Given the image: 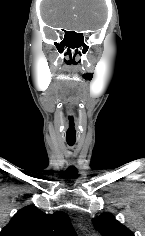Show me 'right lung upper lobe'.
I'll return each instance as SVG.
<instances>
[{
    "label": "right lung upper lobe",
    "mask_w": 145,
    "mask_h": 236,
    "mask_svg": "<svg viewBox=\"0 0 145 236\" xmlns=\"http://www.w3.org/2000/svg\"><path fill=\"white\" fill-rule=\"evenodd\" d=\"M0 236H76V232L66 213L45 214L38 208L27 206L12 217Z\"/></svg>",
    "instance_id": "right-lung-upper-lobe-1"
}]
</instances>
